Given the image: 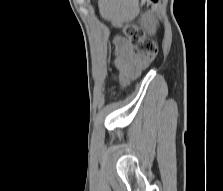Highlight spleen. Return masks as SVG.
Listing matches in <instances>:
<instances>
[{"instance_id":"3e777b00","label":"spleen","mask_w":223,"mask_h":191,"mask_svg":"<svg viewBox=\"0 0 223 191\" xmlns=\"http://www.w3.org/2000/svg\"><path fill=\"white\" fill-rule=\"evenodd\" d=\"M138 0H99L103 18L115 23L131 20L138 12Z\"/></svg>"}]
</instances>
